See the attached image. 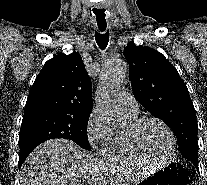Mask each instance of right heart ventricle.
<instances>
[{
	"mask_svg": "<svg viewBox=\"0 0 207 185\" xmlns=\"http://www.w3.org/2000/svg\"><path fill=\"white\" fill-rule=\"evenodd\" d=\"M134 117L136 114H132ZM103 156L105 159L119 164L143 163L149 160L135 150L130 144L126 130L112 131L109 138L103 144Z\"/></svg>",
	"mask_w": 207,
	"mask_h": 185,
	"instance_id": "1",
	"label": "right heart ventricle"
}]
</instances>
